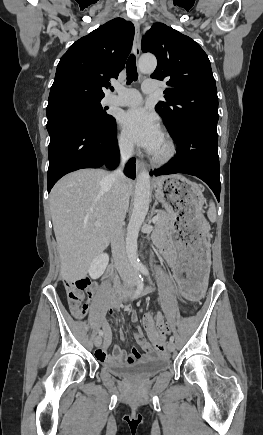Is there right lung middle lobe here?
<instances>
[{
	"instance_id": "1",
	"label": "right lung middle lobe",
	"mask_w": 263,
	"mask_h": 435,
	"mask_svg": "<svg viewBox=\"0 0 263 435\" xmlns=\"http://www.w3.org/2000/svg\"><path fill=\"white\" fill-rule=\"evenodd\" d=\"M101 99L71 100L47 106V128L61 120L79 119L105 127L114 122L100 104Z\"/></svg>"
}]
</instances>
